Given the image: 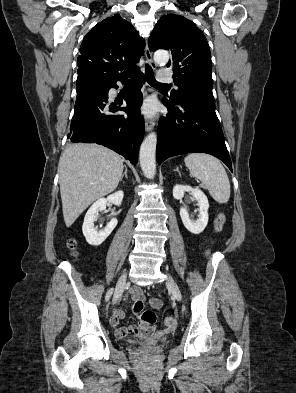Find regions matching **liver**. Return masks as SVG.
Wrapping results in <instances>:
<instances>
[{
    "label": "liver",
    "mask_w": 296,
    "mask_h": 393,
    "mask_svg": "<svg viewBox=\"0 0 296 393\" xmlns=\"http://www.w3.org/2000/svg\"><path fill=\"white\" fill-rule=\"evenodd\" d=\"M123 160L97 144H72L59 161L63 217L70 227L95 200L113 192L121 179Z\"/></svg>",
    "instance_id": "liver-1"
}]
</instances>
